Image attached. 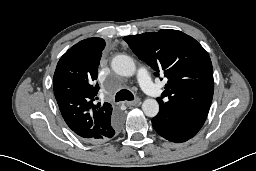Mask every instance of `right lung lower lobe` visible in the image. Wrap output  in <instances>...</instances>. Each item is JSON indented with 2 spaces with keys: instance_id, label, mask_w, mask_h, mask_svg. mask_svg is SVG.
<instances>
[{
  "instance_id": "obj_1",
  "label": "right lung lower lobe",
  "mask_w": 256,
  "mask_h": 171,
  "mask_svg": "<svg viewBox=\"0 0 256 171\" xmlns=\"http://www.w3.org/2000/svg\"><path fill=\"white\" fill-rule=\"evenodd\" d=\"M120 124H121V117L119 115H116L111 121L110 138H112L115 135V131L119 129Z\"/></svg>"
}]
</instances>
